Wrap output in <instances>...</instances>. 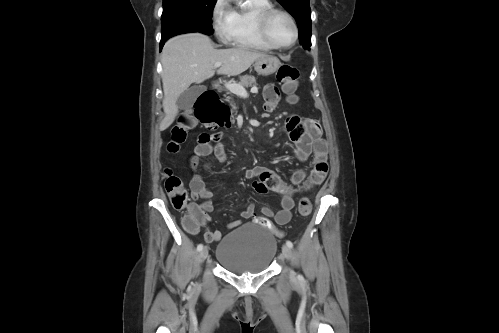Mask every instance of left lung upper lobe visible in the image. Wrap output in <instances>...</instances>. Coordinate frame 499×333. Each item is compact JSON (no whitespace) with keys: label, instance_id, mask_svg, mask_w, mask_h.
<instances>
[{"label":"left lung upper lobe","instance_id":"obj_1","mask_svg":"<svg viewBox=\"0 0 499 333\" xmlns=\"http://www.w3.org/2000/svg\"><path fill=\"white\" fill-rule=\"evenodd\" d=\"M296 20L300 43L311 46V9L309 0H277Z\"/></svg>","mask_w":499,"mask_h":333}]
</instances>
